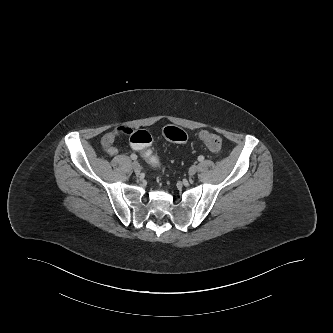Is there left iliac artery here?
Listing matches in <instances>:
<instances>
[{"label":"left iliac artery","instance_id":"left-iliac-artery-1","mask_svg":"<svg viewBox=\"0 0 333 333\" xmlns=\"http://www.w3.org/2000/svg\"><path fill=\"white\" fill-rule=\"evenodd\" d=\"M198 160H199V161H203V160H204V157L201 155V156L198 157Z\"/></svg>","mask_w":333,"mask_h":333}]
</instances>
